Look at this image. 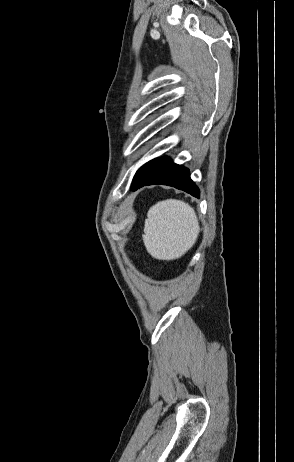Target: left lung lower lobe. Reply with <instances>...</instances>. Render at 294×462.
<instances>
[{"label": "left lung lower lobe", "instance_id": "obj_1", "mask_svg": "<svg viewBox=\"0 0 294 462\" xmlns=\"http://www.w3.org/2000/svg\"><path fill=\"white\" fill-rule=\"evenodd\" d=\"M153 184L173 186L199 198V189L190 179L189 170L167 157L154 159L143 165L133 179L131 190Z\"/></svg>", "mask_w": 294, "mask_h": 462}]
</instances>
